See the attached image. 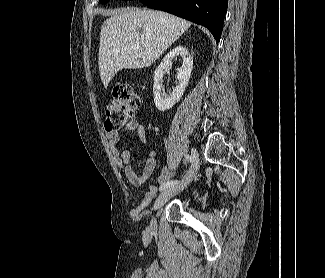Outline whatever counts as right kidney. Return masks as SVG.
Segmentation results:
<instances>
[{
	"label": "right kidney",
	"instance_id": "obj_1",
	"mask_svg": "<svg viewBox=\"0 0 325 278\" xmlns=\"http://www.w3.org/2000/svg\"><path fill=\"white\" fill-rule=\"evenodd\" d=\"M178 56H180L183 61L182 66L177 69L178 85L173 89L172 94H163L161 93L160 82L162 81L165 70L171 66L172 60ZM192 68L193 59L187 48L184 46L179 45L165 55L162 62L154 72L153 94L154 103L158 110H168L181 99L190 80Z\"/></svg>",
	"mask_w": 325,
	"mask_h": 278
}]
</instances>
